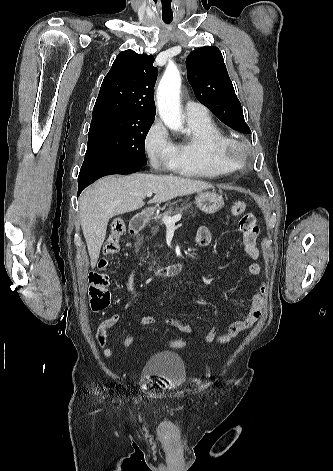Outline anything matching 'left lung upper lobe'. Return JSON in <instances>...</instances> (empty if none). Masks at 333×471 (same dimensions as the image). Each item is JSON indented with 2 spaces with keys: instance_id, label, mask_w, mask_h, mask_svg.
<instances>
[{
  "instance_id": "1",
  "label": "left lung upper lobe",
  "mask_w": 333,
  "mask_h": 471,
  "mask_svg": "<svg viewBox=\"0 0 333 471\" xmlns=\"http://www.w3.org/2000/svg\"><path fill=\"white\" fill-rule=\"evenodd\" d=\"M186 66L188 81L199 102L229 127L251 133L220 50L215 46L196 49L187 57Z\"/></svg>"
}]
</instances>
